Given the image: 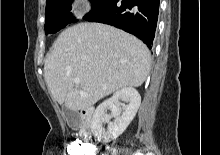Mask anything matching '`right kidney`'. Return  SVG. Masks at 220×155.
Wrapping results in <instances>:
<instances>
[{"label": "right kidney", "instance_id": "obj_1", "mask_svg": "<svg viewBox=\"0 0 220 155\" xmlns=\"http://www.w3.org/2000/svg\"><path fill=\"white\" fill-rule=\"evenodd\" d=\"M128 103L121 109L120 101ZM141 103V97L138 91L132 87L123 88L109 99L99 105L93 115L91 121V131L98 139L104 142H110L120 136L131 121L134 119ZM109 108L111 116L115 118L114 122L110 121V117L105 116V112ZM108 124L107 130L102 127V123Z\"/></svg>", "mask_w": 220, "mask_h": 155}]
</instances>
